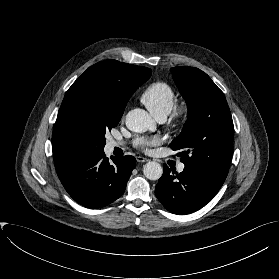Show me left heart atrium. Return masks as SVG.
Segmentation results:
<instances>
[{
    "instance_id": "1",
    "label": "left heart atrium",
    "mask_w": 279,
    "mask_h": 279,
    "mask_svg": "<svg viewBox=\"0 0 279 279\" xmlns=\"http://www.w3.org/2000/svg\"><path fill=\"white\" fill-rule=\"evenodd\" d=\"M159 143L156 137H138L135 140V145L143 151H148L150 147L155 146Z\"/></svg>"
}]
</instances>
